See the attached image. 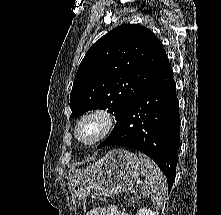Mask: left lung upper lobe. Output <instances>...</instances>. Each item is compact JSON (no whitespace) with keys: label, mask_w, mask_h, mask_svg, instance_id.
Masks as SVG:
<instances>
[{"label":"left lung upper lobe","mask_w":221,"mask_h":215,"mask_svg":"<svg viewBox=\"0 0 221 215\" xmlns=\"http://www.w3.org/2000/svg\"><path fill=\"white\" fill-rule=\"evenodd\" d=\"M168 63L152 31L138 24L116 27L96 41L81 61L70 94L71 117L108 109L118 120Z\"/></svg>","instance_id":"left-lung-upper-lobe-1"}]
</instances>
